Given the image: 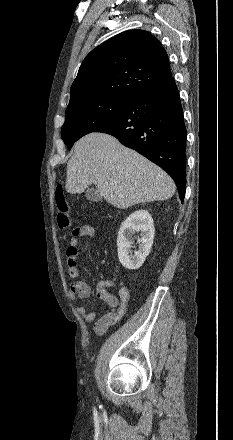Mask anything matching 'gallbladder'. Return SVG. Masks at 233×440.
Masks as SVG:
<instances>
[{"mask_svg":"<svg viewBox=\"0 0 233 440\" xmlns=\"http://www.w3.org/2000/svg\"><path fill=\"white\" fill-rule=\"evenodd\" d=\"M85 196L88 200L93 202H99L102 200V196L94 188H88L85 192Z\"/></svg>","mask_w":233,"mask_h":440,"instance_id":"obj_1","label":"gallbladder"}]
</instances>
